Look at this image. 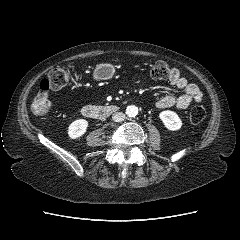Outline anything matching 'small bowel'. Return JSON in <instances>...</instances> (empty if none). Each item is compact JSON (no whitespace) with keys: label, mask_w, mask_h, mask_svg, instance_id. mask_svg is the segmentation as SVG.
Returning <instances> with one entry per match:
<instances>
[{"label":"small bowel","mask_w":240,"mask_h":240,"mask_svg":"<svg viewBox=\"0 0 240 240\" xmlns=\"http://www.w3.org/2000/svg\"><path fill=\"white\" fill-rule=\"evenodd\" d=\"M168 80L171 85L182 90L183 93L180 95L170 93L163 96L156 102L157 109L174 107L177 110H184L190 105L202 101L203 95L199 87L183 77L178 69H170Z\"/></svg>","instance_id":"obj_1"}]
</instances>
